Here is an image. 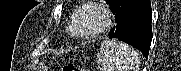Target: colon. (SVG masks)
Wrapping results in <instances>:
<instances>
[{"instance_id": "obj_1", "label": "colon", "mask_w": 181, "mask_h": 71, "mask_svg": "<svg viewBox=\"0 0 181 71\" xmlns=\"http://www.w3.org/2000/svg\"><path fill=\"white\" fill-rule=\"evenodd\" d=\"M62 71H84V69L79 68L72 64H67L62 67Z\"/></svg>"}]
</instances>
